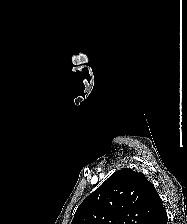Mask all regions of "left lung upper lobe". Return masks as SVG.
Listing matches in <instances>:
<instances>
[{
  "label": "left lung upper lobe",
  "mask_w": 187,
  "mask_h": 224,
  "mask_svg": "<svg viewBox=\"0 0 187 224\" xmlns=\"http://www.w3.org/2000/svg\"><path fill=\"white\" fill-rule=\"evenodd\" d=\"M162 200L143 173L114 172L78 206L71 224H150Z\"/></svg>",
  "instance_id": "5c2ea615"
}]
</instances>
